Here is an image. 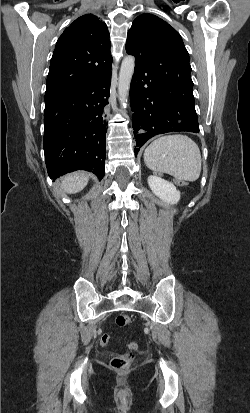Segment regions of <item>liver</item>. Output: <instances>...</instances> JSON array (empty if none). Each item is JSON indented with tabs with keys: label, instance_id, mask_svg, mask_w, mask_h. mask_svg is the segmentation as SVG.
<instances>
[{
	"label": "liver",
	"instance_id": "1",
	"mask_svg": "<svg viewBox=\"0 0 250 413\" xmlns=\"http://www.w3.org/2000/svg\"><path fill=\"white\" fill-rule=\"evenodd\" d=\"M88 175L75 172L66 175L62 180V186L68 194H75L82 191L88 184Z\"/></svg>",
	"mask_w": 250,
	"mask_h": 413
}]
</instances>
